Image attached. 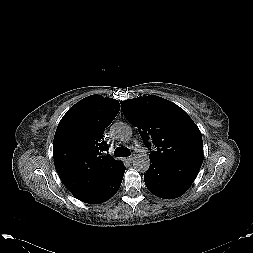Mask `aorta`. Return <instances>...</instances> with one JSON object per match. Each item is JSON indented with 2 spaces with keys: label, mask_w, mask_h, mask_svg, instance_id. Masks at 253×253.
Instances as JSON below:
<instances>
[{
  "label": "aorta",
  "mask_w": 253,
  "mask_h": 253,
  "mask_svg": "<svg viewBox=\"0 0 253 253\" xmlns=\"http://www.w3.org/2000/svg\"><path fill=\"white\" fill-rule=\"evenodd\" d=\"M112 131L115 137L120 141H128L132 137V128L126 123H116ZM135 168L141 172L148 170L150 166V159L147 154H141L134 159Z\"/></svg>",
  "instance_id": "762f6f07"
}]
</instances>
